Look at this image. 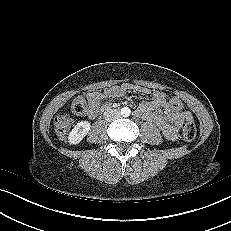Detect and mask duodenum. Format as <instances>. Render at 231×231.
Returning <instances> with one entry per match:
<instances>
[{
    "label": "duodenum",
    "mask_w": 231,
    "mask_h": 231,
    "mask_svg": "<svg viewBox=\"0 0 231 231\" xmlns=\"http://www.w3.org/2000/svg\"><path fill=\"white\" fill-rule=\"evenodd\" d=\"M108 109H110V107H106V108H104V110H108Z\"/></svg>",
    "instance_id": "1"
}]
</instances>
